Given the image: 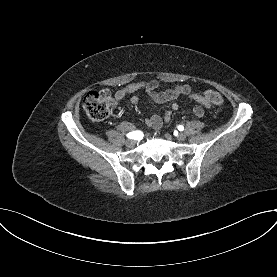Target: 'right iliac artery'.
<instances>
[{"label":"right iliac artery","instance_id":"right-iliac-artery-1","mask_svg":"<svg viewBox=\"0 0 277 277\" xmlns=\"http://www.w3.org/2000/svg\"><path fill=\"white\" fill-rule=\"evenodd\" d=\"M127 137L130 139H141L143 137V133L141 131H134L128 133Z\"/></svg>","mask_w":277,"mask_h":277}]
</instances>
